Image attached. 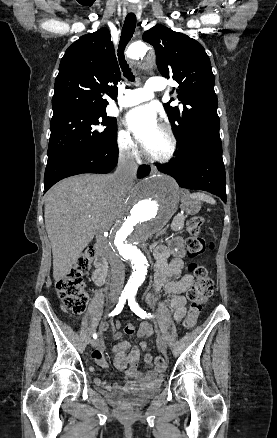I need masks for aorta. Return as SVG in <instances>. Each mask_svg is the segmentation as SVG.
Listing matches in <instances>:
<instances>
[{"label":"aorta","instance_id":"1","mask_svg":"<svg viewBox=\"0 0 277 438\" xmlns=\"http://www.w3.org/2000/svg\"><path fill=\"white\" fill-rule=\"evenodd\" d=\"M148 53L144 43L136 42L127 49V56L140 59ZM149 57L147 66L154 67ZM178 201L175 181L162 174L146 178L131 191L126 205L109 233L115 252L132 266V275L125 287L127 294H135L145 280L148 261L141 247L153 234L160 231L176 211Z\"/></svg>","mask_w":277,"mask_h":438}]
</instances>
